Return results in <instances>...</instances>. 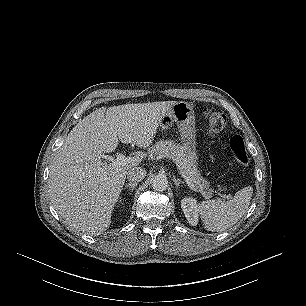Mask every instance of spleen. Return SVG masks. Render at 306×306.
I'll return each mask as SVG.
<instances>
[{"label":"spleen","instance_id":"spleen-1","mask_svg":"<svg viewBox=\"0 0 306 306\" xmlns=\"http://www.w3.org/2000/svg\"><path fill=\"white\" fill-rule=\"evenodd\" d=\"M253 188L245 187L234 195L232 200L221 199L201 202L198 212L208 231H224L238 222L249 208Z\"/></svg>","mask_w":306,"mask_h":306}]
</instances>
